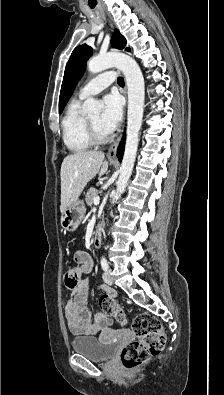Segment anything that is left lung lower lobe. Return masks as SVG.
Returning <instances> with one entry per match:
<instances>
[{"label":"left lung lower lobe","instance_id":"0a47b994","mask_svg":"<svg viewBox=\"0 0 224 395\" xmlns=\"http://www.w3.org/2000/svg\"><path fill=\"white\" fill-rule=\"evenodd\" d=\"M124 137H123V139H122V141H121V143H120V145H119V147H118V152H117V157L119 158V160L121 161V159H122V155H123V152H124Z\"/></svg>","mask_w":224,"mask_h":395}]
</instances>
